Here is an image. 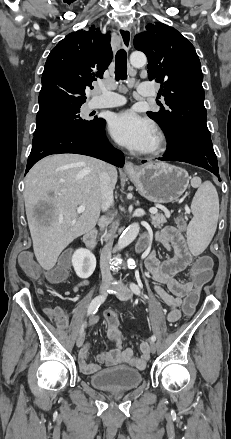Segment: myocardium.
Returning a JSON list of instances; mask_svg holds the SVG:
<instances>
[{
	"label": "myocardium",
	"instance_id": "myocardium-1",
	"mask_svg": "<svg viewBox=\"0 0 231 439\" xmlns=\"http://www.w3.org/2000/svg\"><path fill=\"white\" fill-rule=\"evenodd\" d=\"M167 141L164 133L160 130L156 131L155 143L152 147L145 151L148 155H158L166 149Z\"/></svg>",
	"mask_w": 231,
	"mask_h": 439
}]
</instances>
